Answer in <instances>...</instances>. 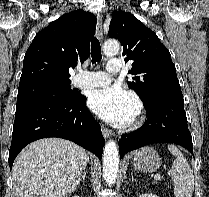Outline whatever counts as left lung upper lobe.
Masks as SVG:
<instances>
[{
    "label": "left lung upper lobe",
    "mask_w": 209,
    "mask_h": 197,
    "mask_svg": "<svg viewBox=\"0 0 209 197\" xmlns=\"http://www.w3.org/2000/svg\"><path fill=\"white\" fill-rule=\"evenodd\" d=\"M112 15L109 37L121 42L125 62L133 61L129 71L133 81L128 86L143 104L159 97H183L169 50L157 35L129 12L115 11Z\"/></svg>",
    "instance_id": "1"
}]
</instances>
